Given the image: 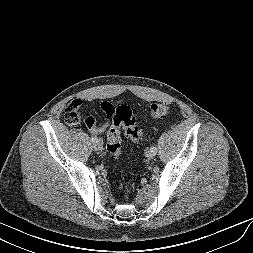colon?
Returning <instances> with one entry per match:
<instances>
[{"mask_svg":"<svg viewBox=\"0 0 253 253\" xmlns=\"http://www.w3.org/2000/svg\"><path fill=\"white\" fill-rule=\"evenodd\" d=\"M169 108L163 103L151 105L150 114L153 119H161L168 114ZM111 126L107 133V152L115 158L121 154V135L123 129L126 135L133 141L139 142L144 139L145 132L137 126L131 109L123 104L111 108ZM64 118L67 124L77 127L82 123L93 126L95 119L92 116H84L81 112V102L72 101L64 111Z\"/></svg>","mask_w":253,"mask_h":253,"instance_id":"1","label":"colon"}]
</instances>
